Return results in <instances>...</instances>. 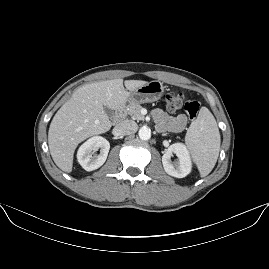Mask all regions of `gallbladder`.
Instances as JSON below:
<instances>
[{"label":"gallbladder","instance_id":"gallbladder-1","mask_svg":"<svg viewBox=\"0 0 269 269\" xmlns=\"http://www.w3.org/2000/svg\"><path fill=\"white\" fill-rule=\"evenodd\" d=\"M104 111L109 118H112L114 116V111L110 109L109 107L105 106Z\"/></svg>","mask_w":269,"mask_h":269}]
</instances>
